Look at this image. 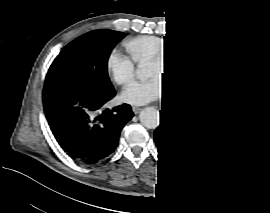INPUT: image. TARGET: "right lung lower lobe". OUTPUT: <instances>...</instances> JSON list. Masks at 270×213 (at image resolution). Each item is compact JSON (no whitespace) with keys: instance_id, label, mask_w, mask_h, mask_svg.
I'll list each match as a JSON object with an SVG mask.
<instances>
[{"instance_id":"right-lung-lower-lobe-1","label":"right lung lower lobe","mask_w":270,"mask_h":213,"mask_svg":"<svg viewBox=\"0 0 270 213\" xmlns=\"http://www.w3.org/2000/svg\"><path fill=\"white\" fill-rule=\"evenodd\" d=\"M116 94L83 83H45L44 112L58 144L73 160L96 164L117 147L124 125L134 116L130 105L112 109Z\"/></svg>"}]
</instances>
